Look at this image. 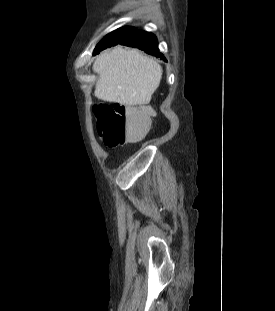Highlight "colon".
Here are the masks:
<instances>
[{
  "label": "colon",
  "instance_id": "1",
  "mask_svg": "<svg viewBox=\"0 0 275 311\" xmlns=\"http://www.w3.org/2000/svg\"><path fill=\"white\" fill-rule=\"evenodd\" d=\"M152 113L151 108L97 105L95 114L99 136L108 148L140 140L150 129Z\"/></svg>",
  "mask_w": 275,
  "mask_h": 311
}]
</instances>
